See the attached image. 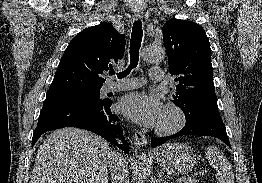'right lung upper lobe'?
<instances>
[{
  "label": "right lung upper lobe",
  "mask_w": 262,
  "mask_h": 183,
  "mask_svg": "<svg viewBox=\"0 0 262 183\" xmlns=\"http://www.w3.org/2000/svg\"><path fill=\"white\" fill-rule=\"evenodd\" d=\"M125 42L110 23L84 29L70 41L48 92L101 88L102 74L123 58Z\"/></svg>",
  "instance_id": "cb5924a9"
}]
</instances>
